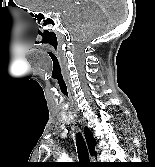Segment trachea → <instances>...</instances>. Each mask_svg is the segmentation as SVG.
<instances>
[{
    "label": "trachea",
    "instance_id": "obj_1",
    "mask_svg": "<svg viewBox=\"0 0 155 167\" xmlns=\"http://www.w3.org/2000/svg\"><path fill=\"white\" fill-rule=\"evenodd\" d=\"M77 150H78V157L80 162L88 163L89 162V153L85 144L84 139L80 134H77Z\"/></svg>",
    "mask_w": 155,
    "mask_h": 167
}]
</instances>
